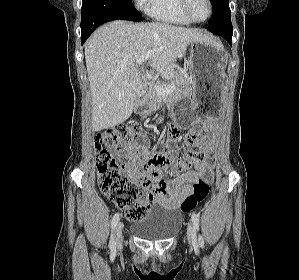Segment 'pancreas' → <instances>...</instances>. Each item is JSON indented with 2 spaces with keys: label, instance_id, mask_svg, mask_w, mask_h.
Returning a JSON list of instances; mask_svg holds the SVG:
<instances>
[{
  "label": "pancreas",
  "instance_id": "1",
  "mask_svg": "<svg viewBox=\"0 0 299 280\" xmlns=\"http://www.w3.org/2000/svg\"><path fill=\"white\" fill-rule=\"evenodd\" d=\"M174 84L175 89L173 94L177 93H189L191 90L190 81H188L181 73H178L176 76H172L165 83H162L160 86L165 87L168 85ZM144 102L150 107L155 108L159 107L162 100H166L167 97L160 96L156 90L150 88L148 92L143 97Z\"/></svg>",
  "mask_w": 299,
  "mask_h": 280
}]
</instances>
